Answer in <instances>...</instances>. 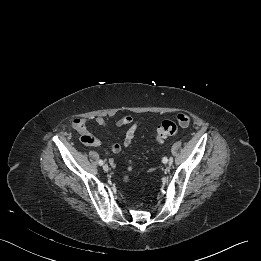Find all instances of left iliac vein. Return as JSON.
I'll list each match as a JSON object with an SVG mask.
<instances>
[{
  "label": "left iliac vein",
  "mask_w": 261,
  "mask_h": 261,
  "mask_svg": "<svg viewBox=\"0 0 261 261\" xmlns=\"http://www.w3.org/2000/svg\"><path fill=\"white\" fill-rule=\"evenodd\" d=\"M167 162H168V164H169V165H171V164H172V162H171L170 160H168ZM167 162H166V163H167Z\"/></svg>",
  "instance_id": "obj_1"
}]
</instances>
